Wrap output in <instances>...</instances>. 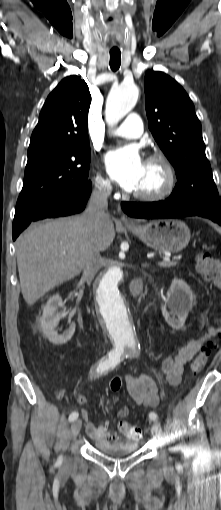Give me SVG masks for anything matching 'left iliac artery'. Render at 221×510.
I'll list each match as a JSON object with an SVG mask.
<instances>
[{
    "mask_svg": "<svg viewBox=\"0 0 221 510\" xmlns=\"http://www.w3.org/2000/svg\"><path fill=\"white\" fill-rule=\"evenodd\" d=\"M149 418L151 420H157L158 419V415L155 412H150L149 413Z\"/></svg>",
    "mask_w": 221,
    "mask_h": 510,
    "instance_id": "obj_1",
    "label": "left iliac artery"
}]
</instances>
